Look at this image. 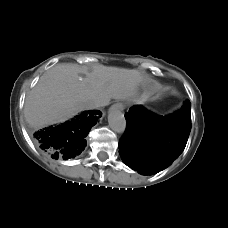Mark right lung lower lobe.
<instances>
[{"mask_svg":"<svg viewBox=\"0 0 228 228\" xmlns=\"http://www.w3.org/2000/svg\"><path fill=\"white\" fill-rule=\"evenodd\" d=\"M101 116L99 110L84 111L63 124L34 132L33 140L55 159L74 158L84 150L85 137Z\"/></svg>","mask_w":228,"mask_h":228,"instance_id":"obj_1","label":"right lung lower lobe"}]
</instances>
